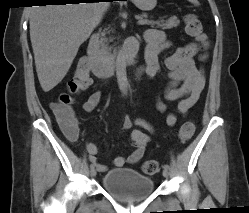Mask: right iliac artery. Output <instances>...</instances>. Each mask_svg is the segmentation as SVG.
<instances>
[{
  "label": "right iliac artery",
  "mask_w": 249,
  "mask_h": 213,
  "mask_svg": "<svg viewBox=\"0 0 249 213\" xmlns=\"http://www.w3.org/2000/svg\"><path fill=\"white\" fill-rule=\"evenodd\" d=\"M90 168H91V169L94 168V163L90 165Z\"/></svg>",
  "instance_id": "82829eb1"
}]
</instances>
